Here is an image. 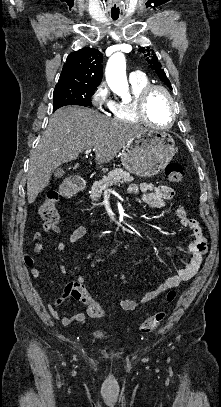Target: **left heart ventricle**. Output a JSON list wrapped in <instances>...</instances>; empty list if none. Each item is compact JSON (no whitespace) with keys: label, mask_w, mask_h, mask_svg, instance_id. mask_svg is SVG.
Returning <instances> with one entry per match:
<instances>
[{"label":"left heart ventricle","mask_w":221,"mask_h":407,"mask_svg":"<svg viewBox=\"0 0 221 407\" xmlns=\"http://www.w3.org/2000/svg\"><path fill=\"white\" fill-rule=\"evenodd\" d=\"M147 113L150 120L160 125H167L171 118V106L162 92H156L150 98L147 105Z\"/></svg>","instance_id":"obj_1"}]
</instances>
